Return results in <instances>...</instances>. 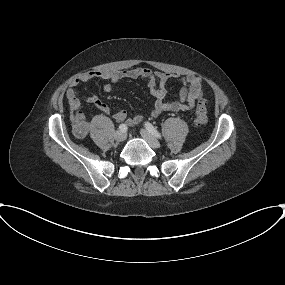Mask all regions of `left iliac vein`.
Returning a JSON list of instances; mask_svg holds the SVG:
<instances>
[{"label":"left iliac vein","mask_w":285,"mask_h":285,"mask_svg":"<svg viewBox=\"0 0 285 285\" xmlns=\"http://www.w3.org/2000/svg\"><path fill=\"white\" fill-rule=\"evenodd\" d=\"M141 136L146 140V142L152 147V148H159L160 143L159 141L146 129L141 130Z\"/></svg>","instance_id":"1"}]
</instances>
